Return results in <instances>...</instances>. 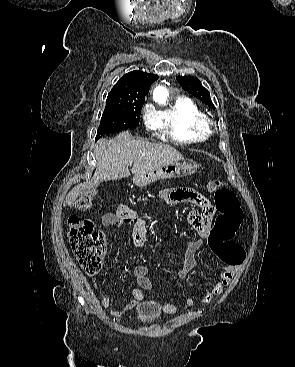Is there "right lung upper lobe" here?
Masks as SVG:
<instances>
[{
	"label": "right lung upper lobe",
	"mask_w": 295,
	"mask_h": 367,
	"mask_svg": "<svg viewBox=\"0 0 295 367\" xmlns=\"http://www.w3.org/2000/svg\"><path fill=\"white\" fill-rule=\"evenodd\" d=\"M157 79L158 76L151 73L131 71L113 86L106 102H144L151 84Z\"/></svg>",
	"instance_id": "right-lung-upper-lobe-1"
}]
</instances>
